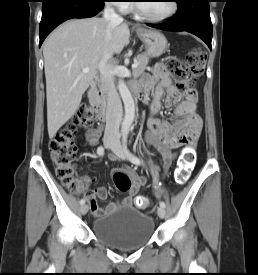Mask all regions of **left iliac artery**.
Here are the masks:
<instances>
[{
	"mask_svg": "<svg viewBox=\"0 0 258 275\" xmlns=\"http://www.w3.org/2000/svg\"><path fill=\"white\" fill-rule=\"evenodd\" d=\"M127 135H128V132H125L124 135H123V146H124V148H125V150H126V152H127V155H128L130 161H131L133 164L141 165V164H142L141 160H140L138 157H136L135 155L131 154V153L127 150ZM160 206L165 208V207H166V204H165L163 201H161V202H160Z\"/></svg>",
	"mask_w": 258,
	"mask_h": 275,
	"instance_id": "left-iliac-artery-1",
	"label": "left iliac artery"
}]
</instances>
